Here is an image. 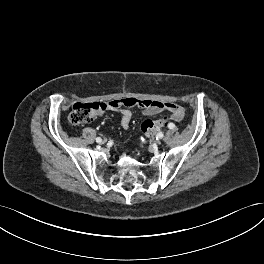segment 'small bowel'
Segmentation results:
<instances>
[{"instance_id": "small-bowel-1", "label": "small bowel", "mask_w": 264, "mask_h": 264, "mask_svg": "<svg viewBox=\"0 0 264 264\" xmlns=\"http://www.w3.org/2000/svg\"><path fill=\"white\" fill-rule=\"evenodd\" d=\"M134 99L135 103L133 106H137L141 109L142 113L146 116L156 115L164 110L171 113V118L174 121L182 120L184 116L183 108L172 102H161L156 100H137ZM121 113V125L123 128H128L132 120V111L129 108H123L120 110Z\"/></svg>"}]
</instances>
